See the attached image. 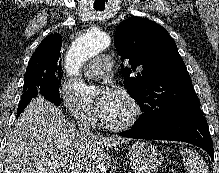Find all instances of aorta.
<instances>
[{"label": "aorta", "instance_id": "1", "mask_svg": "<svg viewBox=\"0 0 219 173\" xmlns=\"http://www.w3.org/2000/svg\"><path fill=\"white\" fill-rule=\"evenodd\" d=\"M110 37L102 30L92 28L79 36L71 44L66 54V69L71 75H77L81 65L88 59L107 49ZM74 92L81 97L93 94L94 88L77 79L73 83Z\"/></svg>", "mask_w": 219, "mask_h": 173}]
</instances>
